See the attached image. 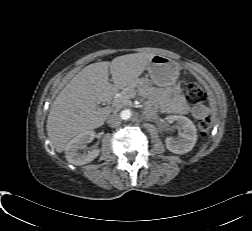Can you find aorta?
<instances>
[{
	"label": "aorta",
	"mask_w": 252,
	"mask_h": 231,
	"mask_svg": "<svg viewBox=\"0 0 252 231\" xmlns=\"http://www.w3.org/2000/svg\"><path fill=\"white\" fill-rule=\"evenodd\" d=\"M120 117L123 120H129L132 117V112L129 109H125L120 113Z\"/></svg>",
	"instance_id": "aorta-1"
}]
</instances>
